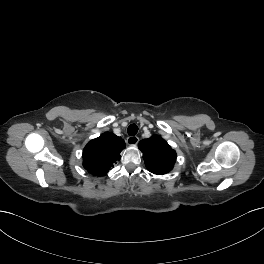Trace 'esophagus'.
I'll return each mask as SVG.
<instances>
[{
  "mask_svg": "<svg viewBox=\"0 0 264 264\" xmlns=\"http://www.w3.org/2000/svg\"><path fill=\"white\" fill-rule=\"evenodd\" d=\"M138 141H139L138 136H129V137L127 138V143H128L129 145H136V144L138 143Z\"/></svg>",
  "mask_w": 264,
  "mask_h": 264,
  "instance_id": "1",
  "label": "esophagus"
}]
</instances>
